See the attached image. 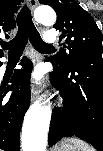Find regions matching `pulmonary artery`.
I'll return each instance as SVG.
<instances>
[{"instance_id":"obj_1","label":"pulmonary artery","mask_w":103,"mask_h":151,"mask_svg":"<svg viewBox=\"0 0 103 151\" xmlns=\"http://www.w3.org/2000/svg\"><path fill=\"white\" fill-rule=\"evenodd\" d=\"M44 39H45V42L48 44L54 43L57 39L55 31H52V30L47 31L44 34Z\"/></svg>"}]
</instances>
